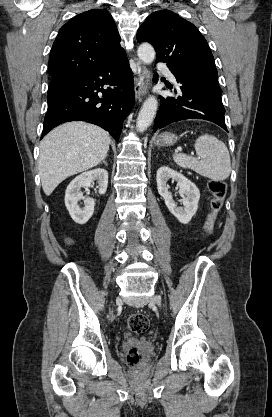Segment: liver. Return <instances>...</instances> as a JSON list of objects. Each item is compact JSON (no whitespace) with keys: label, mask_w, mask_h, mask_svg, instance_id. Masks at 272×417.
Here are the masks:
<instances>
[{"label":"liver","mask_w":272,"mask_h":417,"mask_svg":"<svg viewBox=\"0 0 272 417\" xmlns=\"http://www.w3.org/2000/svg\"><path fill=\"white\" fill-rule=\"evenodd\" d=\"M109 133L85 123L69 122L48 133L40 144L39 175L50 196L66 178L97 166L107 155Z\"/></svg>","instance_id":"6515ba94"}]
</instances>
